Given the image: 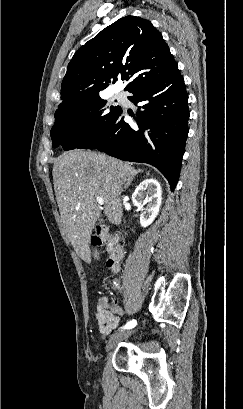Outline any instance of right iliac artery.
<instances>
[{
  "mask_svg": "<svg viewBox=\"0 0 243 409\" xmlns=\"http://www.w3.org/2000/svg\"><path fill=\"white\" fill-rule=\"evenodd\" d=\"M115 284V283H114ZM137 324L136 320L129 321L122 329H132Z\"/></svg>",
  "mask_w": 243,
  "mask_h": 409,
  "instance_id": "obj_1",
  "label": "right iliac artery"
}]
</instances>
